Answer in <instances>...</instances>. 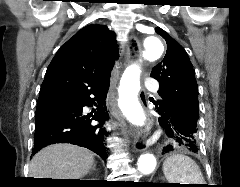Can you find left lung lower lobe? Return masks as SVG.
Segmentation results:
<instances>
[{
    "label": "left lung lower lobe",
    "instance_id": "0a47b994",
    "mask_svg": "<svg viewBox=\"0 0 240 187\" xmlns=\"http://www.w3.org/2000/svg\"><path fill=\"white\" fill-rule=\"evenodd\" d=\"M159 113V123L166 130L169 137L173 138L175 146H181L191 152L198 151L197 142V121L198 118L188 110L173 104L159 106L155 104ZM174 145L169 144L163 148L167 153L174 149Z\"/></svg>",
    "mask_w": 240,
    "mask_h": 187
}]
</instances>
